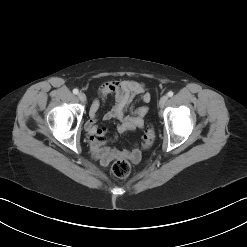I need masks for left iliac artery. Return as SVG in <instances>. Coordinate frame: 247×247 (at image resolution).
I'll return each instance as SVG.
<instances>
[{
    "mask_svg": "<svg viewBox=\"0 0 247 247\" xmlns=\"http://www.w3.org/2000/svg\"><path fill=\"white\" fill-rule=\"evenodd\" d=\"M173 94H174V93H173L172 91H169V92H168V96H169V97H172Z\"/></svg>",
    "mask_w": 247,
    "mask_h": 247,
    "instance_id": "1",
    "label": "left iliac artery"
}]
</instances>
